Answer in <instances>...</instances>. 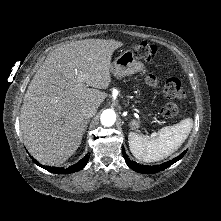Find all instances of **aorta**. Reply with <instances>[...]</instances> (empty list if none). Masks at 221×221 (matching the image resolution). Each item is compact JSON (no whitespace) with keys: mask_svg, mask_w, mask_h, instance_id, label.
<instances>
[{"mask_svg":"<svg viewBox=\"0 0 221 221\" xmlns=\"http://www.w3.org/2000/svg\"><path fill=\"white\" fill-rule=\"evenodd\" d=\"M101 124L105 127H109L114 125L115 121H116V114L114 111L112 110H104L101 114Z\"/></svg>","mask_w":221,"mask_h":221,"instance_id":"762f6f07","label":"aorta"}]
</instances>
